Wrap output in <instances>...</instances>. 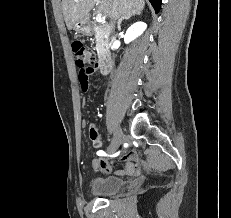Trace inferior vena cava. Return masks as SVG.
Segmentation results:
<instances>
[{
    "instance_id": "obj_1",
    "label": "inferior vena cava",
    "mask_w": 231,
    "mask_h": 218,
    "mask_svg": "<svg viewBox=\"0 0 231 218\" xmlns=\"http://www.w3.org/2000/svg\"><path fill=\"white\" fill-rule=\"evenodd\" d=\"M117 4H118L117 1H115V2L113 3V12L116 11Z\"/></svg>"
}]
</instances>
